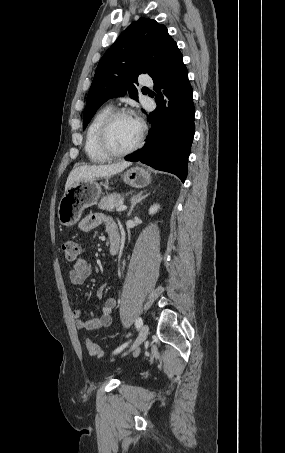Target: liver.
<instances>
[{"label":"liver","mask_w":285,"mask_h":453,"mask_svg":"<svg viewBox=\"0 0 285 453\" xmlns=\"http://www.w3.org/2000/svg\"><path fill=\"white\" fill-rule=\"evenodd\" d=\"M130 165L131 162L124 161L109 165L79 166L70 172L65 184V191H67L74 183L110 177L122 172Z\"/></svg>","instance_id":"1"}]
</instances>
